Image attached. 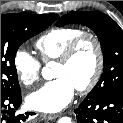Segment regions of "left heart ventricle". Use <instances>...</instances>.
Returning a JSON list of instances; mask_svg holds the SVG:
<instances>
[{
    "label": "left heart ventricle",
    "mask_w": 123,
    "mask_h": 123,
    "mask_svg": "<svg viewBox=\"0 0 123 123\" xmlns=\"http://www.w3.org/2000/svg\"><path fill=\"white\" fill-rule=\"evenodd\" d=\"M96 65V50L90 41H85L69 64H56L54 77L68 78L75 88L87 83Z\"/></svg>",
    "instance_id": "1"
}]
</instances>
